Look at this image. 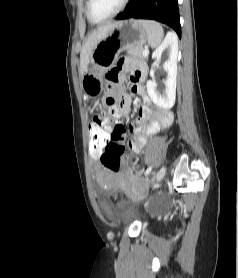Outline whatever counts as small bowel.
Returning <instances> with one entry per match:
<instances>
[{"mask_svg": "<svg viewBox=\"0 0 238 278\" xmlns=\"http://www.w3.org/2000/svg\"><path fill=\"white\" fill-rule=\"evenodd\" d=\"M127 55H118L115 59V64H112L111 67L107 68L105 71L106 81H110L111 85H115L116 98H119V109L118 116L122 117L127 115L130 112L131 107V97L124 93L122 89L124 85L122 84V72L124 71V64L131 69L130 80H131V91L139 96H141L145 102V105L142 106L139 110L138 117L135 123L129 126V131L133 134V138H123V143H129L128 147L132 153H140L150 134L156 132L162 127L169 125L173 119V115L170 111L154 108L147 96V92L142 84L146 73L147 66L142 62H135L127 60ZM117 76L118 80H117ZM106 98H113V93H106ZM116 109L115 105L111 106L110 112L114 113ZM93 124H103L105 121L100 114L94 116ZM119 127L111 128L112 137H126V132H128V127H124L118 121ZM90 130H100V129H90ZM93 136V135H91ZM110 144H118L117 139H113L108 135ZM105 172L101 176V183L105 187L110 188H122L128 183L134 180V177L127 179L126 181H118L114 178L112 170L105 168Z\"/></svg>", "mask_w": 238, "mask_h": 278, "instance_id": "small-bowel-1", "label": "small bowel"}]
</instances>
